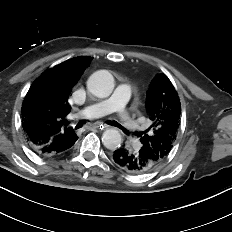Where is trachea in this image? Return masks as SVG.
I'll list each match as a JSON object with an SVG mask.
<instances>
[{
  "instance_id": "3493384b",
  "label": "trachea",
  "mask_w": 232,
  "mask_h": 232,
  "mask_svg": "<svg viewBox=\"0 0 232 232\" xmlns=\"http://www.w3.org/2000/svg\"><path fill=\"white\" fill-rule=\"evenodd\" d=\"M86 123V120H81V121H79L78 123H77V125H76V129H79V128H81L84 124ZM108 124H110V125H113V126H116V127H118V128H120V129H122L124 132H126V130L118 123V122H116V121H108Z\"/></svg>"
}]
</instances>
